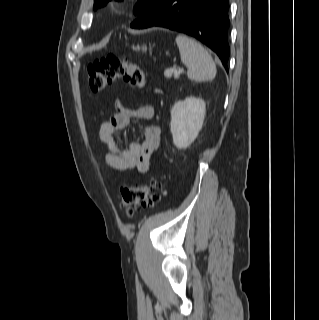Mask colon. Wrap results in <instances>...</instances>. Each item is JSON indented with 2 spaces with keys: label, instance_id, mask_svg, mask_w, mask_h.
I'll use <instances>...</instances> for the list:
<instances>
[{
  "label": "colon",
  "instance_id": "colon-1",
  "mask_svg": "<svg viewBox=\"0 0 319 320\" xmlns=\"http://www.w3.org/2000/svg\"><path fill=\"white\" fill-rule=\"evenodd\" d=\"M86 74L89 86L94 91L105 89L116 80H122L136 89L145 86V76L140 67L114 53H108L89 63L86 67ZM165 195L166 192L160 184L151 180L146 184L122 188L120 201L127 215L132 216L142 207L154 206Z\"/></svg>",
  "mask_w": 319,
  "mask_h": 320
}]
</instances>
